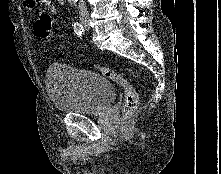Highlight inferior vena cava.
Returning a JSON list of instances; mask_svg holds the SVG:
<instances>
[{
	"instance_id": "inferior-vena-cava-1",
	"label": "inferior vena cava",
	"mask_w": 221,
	"mask_h": 174,
	"mask_svg": "<svg viewBox=\"0 0 221 174\" xmlns=\"http://www.w3.org/2000/svg\"><path fill=\"white\" fill-rule=\"evenodd\" d=\"M78 11H79V15L80 17H87L88 16V11H87V7L84 3L83 0H80L79 4H78Z\"/></svg>"
}]
</instances>
